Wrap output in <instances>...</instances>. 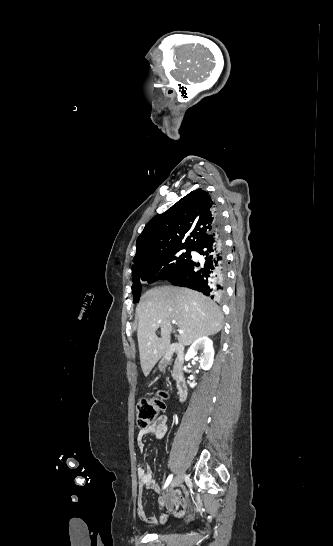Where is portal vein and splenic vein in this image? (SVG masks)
I'll return each mask as SVG.
<instances>
[{"mask_svg": "<svg viewBox=\"0 0 333 546\" xmlns=\"http://www.w3.org/2000/svg\"><path fill=\"white\" fill-rule=\"evenodd\" d=\"M172 323H173V324H176V320H172ZM183 333H184L183 330H179V334H183Z\"/></svg>", "mask_w": 333, "mask_h": 546, "instance_id": "18ae733b", "label": "portal vein and splenic vein"}]
</instances>
